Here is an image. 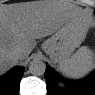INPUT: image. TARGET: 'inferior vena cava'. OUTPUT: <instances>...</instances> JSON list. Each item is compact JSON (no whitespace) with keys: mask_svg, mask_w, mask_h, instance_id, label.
<instances>
[{"mask_svg":"<svg viewBox=\"0 0 95 95\" xmlns=\"http://www.w3.org/2000/svg\"><path fill=\"white\" fill-rule=\"evenodd\" d=\"M14 55H16L18 58L21 56V50L18 48V49H15L14 50Z\"/></svg>","mask_w":95,"mask_h":95,"instance_id":"inferior-vena-cava-1","label":"inferior vena cava"}]
</instances>
